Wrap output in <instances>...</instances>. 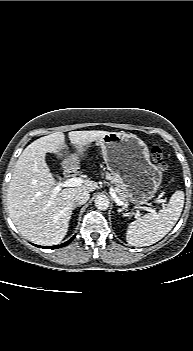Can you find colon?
Masks as SVG:
<instances>
[{
	"label": "colon",
	"instance_id": "1",
	"mask_svg": "<svg viewBox=\"0 0 193 351\" xmlns=\"http://www.w3.org/2000/svg\"><path fill=\"white\" fill-rule=\"evenodd\" d=\"M151 157L154 163L157 164L162 170L165 171L167 169V164L164 160L162 150L159 147H152Z\"/></svg>",
	"mask_w": 193,
	"mask_h": 351
}]
</instances>
